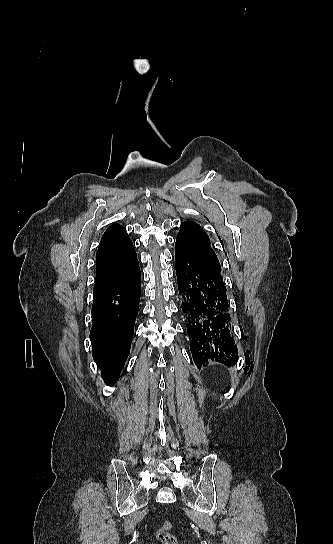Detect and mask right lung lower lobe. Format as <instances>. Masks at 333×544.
<instances>
[{
    "label": "right lung lower lobe",
    "mask_w": 333,
    "mask_h": 544,
    "mask_svg": "<svg viewBox=\"0 0 333 544\" xmlns=\"http://www.w3.org/2000/svg\"><path fill=\"white\" fill-rule=\"evenodd\" d=\"M140 290L138 261L117 280L93 290L92 355L105 383H113L119 378L129 355Z\"/></svg>",
    "instance_id": "98d812e1"
}]
</instances>
